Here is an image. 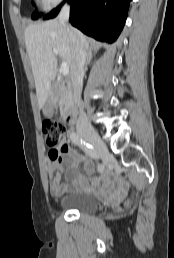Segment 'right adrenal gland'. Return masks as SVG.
<instances>
[{"label": "right adrenal gland", "instance_id": "1", "mask_svg": "<svg viewBox=\"0 0 174 258\" xmlns=\"http://www.w3.org/2000/svg\"><path fill=\"white\" fill-rule=\"evenodd\" d=\"M92 59V48H88L87 50V59H86V65H88L90 63Z\"/></svg>", "mask_w": 174, "mask_h": 258}]
</instances>
